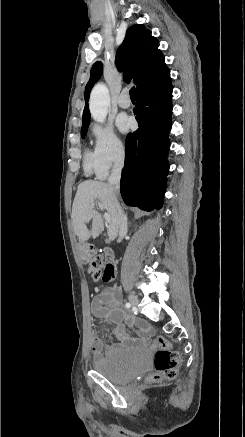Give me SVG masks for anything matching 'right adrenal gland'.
Returning <instances> with one entry per match:
<instances>
[{
    "mask_svg": "<svg viewBox=\"0 0 245 437\" xmlns=\"http://www.w3.org/2000/svg\"><path fill=\"white\" fill-rule=\"evenodd\" d=\"M124 217H125V219H126V221H127V215H124Z\"/></svg>",
    "mask_w": 245,
    "mask_h": 437,
    "instance_id": "obj_1",
    "label": "right adrenal gland"
}]
</instances>
